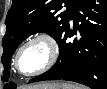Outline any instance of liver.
<instances>
[{"instance_id":"obj_1","label":"liver","mask_w":107,"mask_h":89,"mask_svg":"<svg viewBox=\"0 0 107 89\" xmlns=\"http://www.w3.org/2000/svg\"><path fill=\"white\" fill-rule=\"evenodd\" d=\"M62 85L59 84H38V85H34V86H30L29 89L31 88H36V89H57L59 87H61Z\"/></svg>"}]
</instances>
